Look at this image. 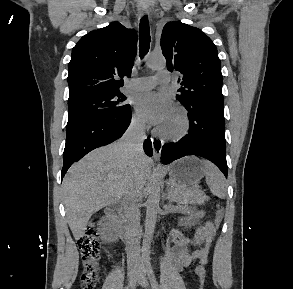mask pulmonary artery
I'll return each instance as SVG.
<instances>
[{
  "label": "pulmonary artery",
  "mask_w": 293,
  "mask_h": 289,
  "mask_svg": "<svg viewBox=\"0 0 293 289\" xmlns=\"http://www.w3.org/2000/svg\"><path fill=\"white\" fill-rule=\"evenodd\" d=\"M171 74L166 70H159L154 76L136 78L130 81L129 88L134 91H145L153 88L156 84L169 83Z\"/></svg>",
  "instance_id": "1"
}]
</instances>
